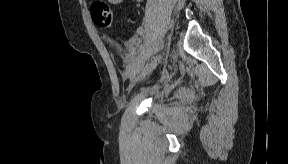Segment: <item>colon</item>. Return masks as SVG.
Instances as JSON below:
<instances>
[{
  "instance_id": "colon-1",
  "label": "colon",
  "mask_w": 288,
  "mask_h": 164,
  "mask_svg": "<svg viewBox=\"0 0 288 164\" xmlns=\"http://www.w3.org/2000/svg\"><path fill=\"white\" fill-rule=\"evenodd\" d=\"M92 14L95 24L101 28H110L115 21L113 10L105 3H95L92 6Z\"/></svg>"
}]
</instances>
